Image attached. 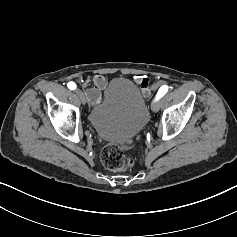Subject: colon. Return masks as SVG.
<instances>
[{
	"label": "colon",
	"instance_id": "obj_1",
	"mask_svg": "<svg viewBox=\"0 0 237 237\" xmlns=\"http://www.w3.org/2000/svg\"><path fill=\"white\" fill-rule=\"evenodd\" d=\"M151 89H153V87H151ZM131 142L132 141L129 140L127 144ZM100 158L103 165L112 171H121L133 164L131 159H126L123 150L119 146L112 144L103 147Z\"/></svg>",
	"mask_w": 237,
	"mask_h": 237
}]
</instances>
